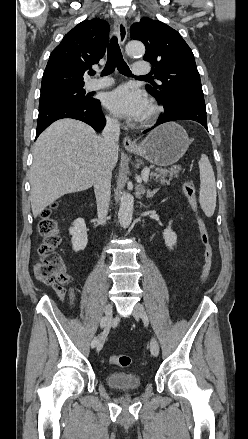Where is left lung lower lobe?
Instances as JSON below:
<instances>
[{
  "label": "left lung lower lobe",
  "mask_w": 248,
  "mask_h": 439,
  "mask_svg": "<svg viewBox=\"0 0 248 439\" xmlns=\"http://www.w3.org/2000/svg\"><path fill=\"white\" fill-rule=\"evenodd\" d=\"M176 120H193L208 129L205 106L188 102L178 103L169 110H164V113L159 116L155 126ZM149 130L151 129L144 131V133Z\"/></svg>",
  "instance_id": "0a47b994"
}]
</instances>
